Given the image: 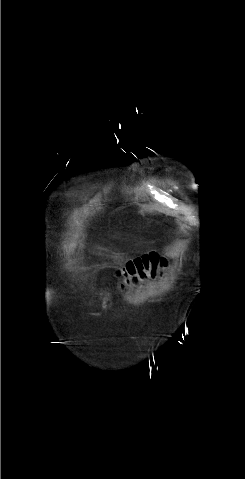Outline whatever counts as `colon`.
I'll return each mask as SVG.
<instances>
[{
  "instance_id": "colon-1",
  "label": "colon",
  "mask_w": 245,
  "mask_h": 479,
  "mask_svg": "<svg viewBox=\"0 0 245 479\" xmlns=\"http://www.w3.org/2000/svg\"><path fill=\"white\" fill-rule=\"evenodd\" d=\"M165 266V262L154 253L146 254L129 261L119 270V274L124 277L134 275L144 276L145 273H155L158 269Z\"/></svg>"
}]
</instances>
